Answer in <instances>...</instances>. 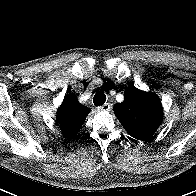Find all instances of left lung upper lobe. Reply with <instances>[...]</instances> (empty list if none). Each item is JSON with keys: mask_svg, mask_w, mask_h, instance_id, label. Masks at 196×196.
I'll list each match as a JSON object with an SVG mask.
<instances>
[{"mask_svg": "<svg viewBox=\"0 0 196 196\" xmlns=\"http://www.w3.org/2000/svg\"><path fill=\"white\" fill-rule=\"evenodd\" d=\"M124 97L116 115L125 129L134 136L153 131L159 121V106L131 92Z\"/></svg>", "mask_w": 196, "mask_h": 196, "instance_id": "left-lung-upper-lobe-1", "label": "left lung upper lobe"}]
</instances>
